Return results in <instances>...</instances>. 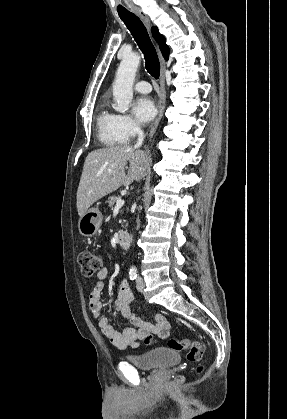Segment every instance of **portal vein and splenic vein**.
I'll return each mask as SVG.
<instances>
[{
    "instance_id": "1",
    "label": "portal vein and splenic vein",
    "mask_w": 287,
    "mask_h": 419,
    "mask_svg": "<svg viewBox=\"0 0 287 419\" xmlns=\"http://www.w3.org/2000/svg\"><path fill=\"white\" fill-rule=\"evenodd\" d=\"M123 205H124V200H122L121 198L117 199L114 211H118Z\"/></svg>"
}]
</instances>
